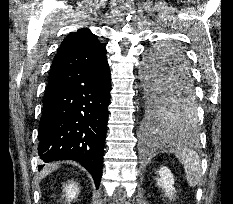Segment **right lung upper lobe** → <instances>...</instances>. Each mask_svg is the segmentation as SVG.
<instances>
[{"mask_svg": "<svg viewBox=\"0 0 233 204\" xmlns=\"http://www.w3.org/2000/svg\"><path fill=\"white\" fill-rule=\"evenodd\" d=\"M107 63L106 49L88 29L69 34L61 43L50 69L47 90L68 82L87 69H99Z\"/></svg>", "mask_w": 233, "mask_h": 204, "instance_id": "obj_1", "label": "right lung upper lobe"}]
</instances>
